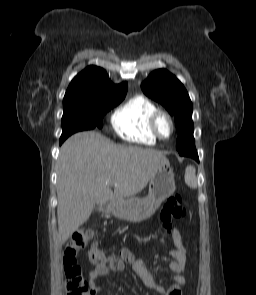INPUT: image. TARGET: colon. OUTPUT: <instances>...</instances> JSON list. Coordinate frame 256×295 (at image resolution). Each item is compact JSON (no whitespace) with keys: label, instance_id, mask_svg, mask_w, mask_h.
<instances>
[{"label":"colon","instance_id":"colon-1","mask_svg":"<svg viewBox=\"0 0 256 295\" xmlns=\"http://www.w3.org/2000/svg\"><path fill=\"white\" fill-rule=\"evenodd\" d=\"M186 215L180 194H173L167 198L160 212V221L163 228L169 232L175 221ZM92 237L91 230L76 231L67 242L63 252V269L67 295H89L88 284L82 275V269L77 261V255L86 248ZM88 259L92 265H101L106 262L102 251L94 247L89 251Z\"/></svg>","mask_w":256,"mask_h":295}]
</instances>
